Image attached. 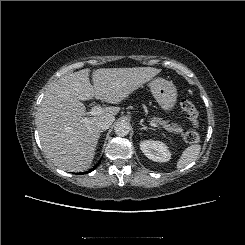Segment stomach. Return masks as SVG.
Instances as JSON below:
<instances>
[{
	"label": "stomach",
	"instance_id": "stomach-1",
	"mask_svg": "<svg viewBox=\"0 0 245 245\" xmlns=\"http://www.w3.org/2000/svg\"><path fill=\"white\" fill-rule=\"evenodd\" d=\"M151 92L164 111L174 108L177 101V89L172 82L156 78L150 83Z\"/></svg>",
	"mask_w": 245,
	"mask_h": 245
}]
</instances>
